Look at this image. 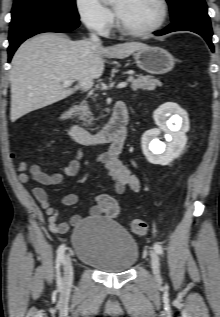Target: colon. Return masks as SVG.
<instances>
[{"label":"colon","mask_w":220,"mask_h":317,"mask_svg":"<svg viewBox=\"0 0 220 317\" xmlns=\"http://www.w3.org/2000/svg\"><path fill=\"white\" fill-rule=\"evenodd\" d=\"M119 213L120 206L118 202L112 197L106 198L103 202V214L109 218H116ZM129 225L131 231L138 235H145L148 231V225L142 219H133Z\"/></svg>","instance_id":"colon-1"}]
</instances>
